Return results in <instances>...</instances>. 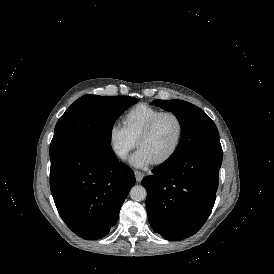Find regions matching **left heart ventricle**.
<instances>
[{
  "instance_id": "b2bd125f",
  "label": "left heart ventricle",
  "mask_w": 274,
  "mask_h": 274,
  "mask_svg": "<svg viewBox=\"0 0 274 274\" xmlns=\"http://www.w3.org/2000/svg\"><path fill=\"white\" fill-rule=\"evenodd\" d=\"M178 133V123L172 116L160 119L154 130L143 138L138 148L145 151L151 163L165 157L172 149Z\"/></svg>"
}]
</instances>
